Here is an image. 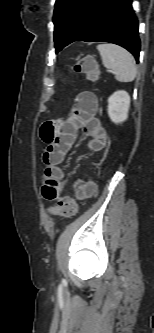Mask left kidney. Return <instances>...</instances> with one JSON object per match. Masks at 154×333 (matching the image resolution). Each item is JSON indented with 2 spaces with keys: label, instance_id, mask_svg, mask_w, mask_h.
Returning <instances> with one entry per match:
<instances>
[{
  "label": "left kidney",
  "instance_id": "1",
  "mask_svg": "<svg viewBox=\"0 0 154 333\" xmlns=\"http://www.w3.org/2000/svg\"><path fill=\"white\" fill-rule=\"evenodd\" d=\"M129 107L130 96L126 91H116L108 98V115L116 124L126 121Z\"/></svg>",
  "mask_w": 154,
  "mask_h": 333
}]
</instances>
